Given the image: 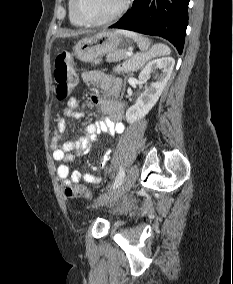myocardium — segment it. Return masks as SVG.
Wrapping results in <instances>:
<instances>
[{"mask_svg":"<svg viewBox=\"0 0 233 284\" xmlns=\"http://www.w3.org/2000/svg\"><path fill=\"white\" fill-rule=\"evenodd\" d=\"M128 6H129V0H123L120 8L114 14H112L111 16H109L105 19H101V20H92V19L87 18L82 13L81 0H75L74 11H75L77 18L82 23H84L85 25L100 26V25H105V24L111 23V22L117 20L118 18H120L125 13Z\"/></svg>","mask_w":233,"mask_h":284,"instance_id":"1","label":"myocardium"}]
</instances>
